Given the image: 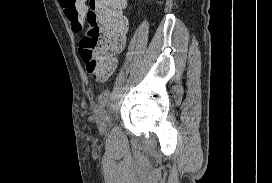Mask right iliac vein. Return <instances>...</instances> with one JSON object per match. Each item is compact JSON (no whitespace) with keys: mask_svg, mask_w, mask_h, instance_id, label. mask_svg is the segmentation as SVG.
<instances>
[{"mask_svg":"<svg viewBox=\"0 0 272 183\" xmlns=\"http://www.w3.org/2000/svg\"><path fill=\"white\" fill-rule=\"evenodd\" d=\"M97 122H98L99 130L101 132H105L108 126V116H107V111L105 110V108H101L98 110Z\"/></svg>","mask_w":272,"mask_h":183,"instance_id":"right-iliac-vein-1","label":"right iliac vein"}]
</instances>
